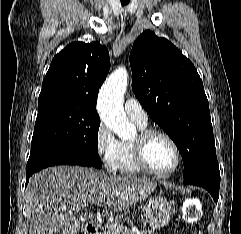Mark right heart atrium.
<instances>
[{
  "mask_svg": "<svg viewBox=\"0 0 241 234\" xmlns=\"http://www.w3.org/2000/svg\"><path fill=\"white\" fill-rule=\"evenodd\" d=\"M94 143L96 153L104 167L108 171H116L120 141L104 123L98 125L95 132Z\"/></svg>",
  "mask_w": 241,
  "mask_h": 234,
  "instance_id": "d8ad5b80",
  "label": "right heart atrium"
}]
</instances>
